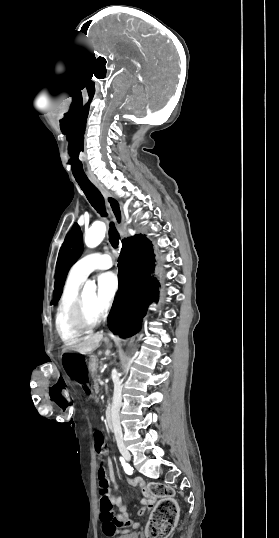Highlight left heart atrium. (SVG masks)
<instances>
[{"label":"left heart atrium","mask_w":279,"mask_h":538,"mask_svg":"<svg viewBox=\"0 0 279 538\" xmlns=\"http://www.w3.org/2000/svg\"><path fill=\"white\" fill-rule=\"evenodd\" d=\"M98 304L101 310L109 307L119 289V277L113 272H105L98 277Z\"/></svg>","instance_id":"39dd6f15"}]
</instances>
